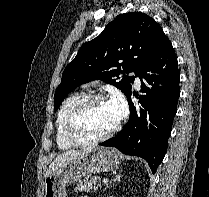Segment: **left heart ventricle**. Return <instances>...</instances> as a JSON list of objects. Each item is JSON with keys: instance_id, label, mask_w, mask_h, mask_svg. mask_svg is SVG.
<instances>
[{"instance_id": "obj_1", "label": "left heart ventricle", "mask_w": 209, "mask_h": 197, "mask_svg": "<svg viewBox=\"0 0 209 197\" xmlns=\"http://www.w3.org/2000/svg\"><path fill=\"white\" fill-rule=\"evenodd\" d=\"M115 125L106 102H97L88 107L80 116L77 132L83 137H96Z\"/></svg>"}]
</instances>
